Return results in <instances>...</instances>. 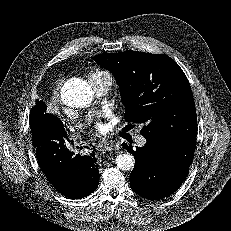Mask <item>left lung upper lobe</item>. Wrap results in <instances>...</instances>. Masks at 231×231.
I'll list each match as a JSON object with an SVG mask.
<instances>
[{"label": "left lung upper lobe", "instance_id": "1", "mask_svg": "<svg viewBox=\"0 0 231 231\" xmlns=\"http://www.w3.org/2000/svg\"><path fill=\"white\" fill-rule=\"evenodd\" d=\"M94 60L109 70L121 89L125 120L145 123V138L169 145L196 141L197 118L189 81L169 56L128 50Z\"/></svg>", "mask_w": 231, "mask_h": 231}]
</instances>
